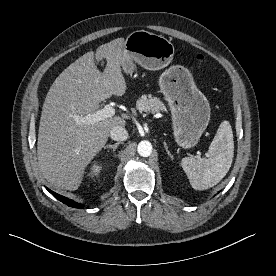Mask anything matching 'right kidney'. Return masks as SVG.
<instances>
[{"instance_id":"obj_1","label":"right kidney","mask_w":276,"mask_h":276,"mask_svg":"<svg viewBox=\"0 0 276 276\" xmlns=\"http://www.w3.org/2000/svg\"><path fill=\"white\" fill-rule=\"evenodd\" d=\"M102 170V164L95 163L91 168V176H98Z\"/></svg>"}]
</instances>
